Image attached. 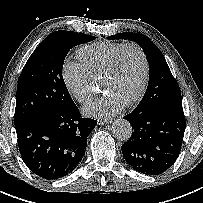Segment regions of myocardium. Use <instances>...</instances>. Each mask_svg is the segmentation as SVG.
Segmentation results:
<instances>
[{
  "label": "myocardium",
  "instance_id": "f54148a6",
  "mask_svg": "<svg viewBox=\"0 0 203 203\" xmlns=\"http://www.w3.org/2000/svg\"><path fill=\"white\" fill-rule=\"evenodd\" d=\"M130 48L137 50L142 58L143 75H142V80H141V83H140V86H139L137 92L130 99H128L126 102H124L125 106H130V105L136 103L138 100H140L146 90V87L148 84V79H149L150 67H149V60H148L147 54L144 51V49L139 44L134 43V42L125 43L114 54V56L112 57V59L110 60V62L107 64V66L105 67V69L102 71V73L100 75L101 79H104V78L110 76L111 74H113L119 64V61H120L123 53L127 49H130Z\"/></svg>",
  "mask_w": 203,
  "mask_h": 203
}]
</instances>
